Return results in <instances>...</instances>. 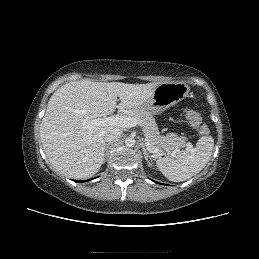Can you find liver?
Masks as SVG:
<instances>
[{"mask_svg": "<svg viewBox=\"0 0 259 259\" xmlns=\"http://www.w3.org/2000/svg\"><path fill=\"white\" fill-rule=\"evenodd\" d=\"M158 85L82 79L59 87L52 94L40 125L41 142L50 163L71 178L95 175L104 161V134L119 127L99 125L90 130L83 126V120L112 114L117 108L139 109Z\"/></svg>", "mask_w": 259, "mask_h": 259, "instance_id": "6515ba94", "label": "liver"}]
</instances>
